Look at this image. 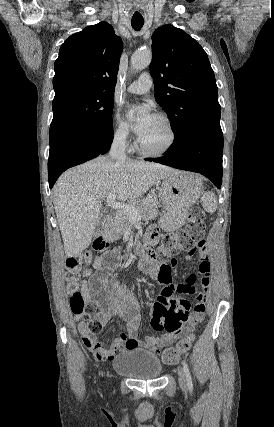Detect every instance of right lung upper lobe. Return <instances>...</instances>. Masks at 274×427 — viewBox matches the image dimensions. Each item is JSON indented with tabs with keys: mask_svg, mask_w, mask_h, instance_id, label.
Here are the masks:
<instances>
[{
	"mask_svg": "<svg viewBox=\"0 0 274 427\" xmlns=\"http://www.w3.org/2000/svg\"><path fill=\"white\" fill-rule=\"evenodd\" d=\"M122 45L121 38L106 22L71 35L55 61L53 102L70 94L114 95Z\"/></svg>",
	"mask_w": 274,
	"mask_h": 427,
	"instance_id": "cb5924a9",
	"label": "right lung upper lobe"
}]
</instances>
